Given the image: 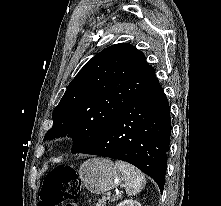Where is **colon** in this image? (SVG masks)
Here are the masks:
<instances>
[{
  "instance_id": "colon-1",
  "label": "colon",
  "mask_w": 221,
  "mask_h": 206,
  "mask_svg": "<svg viewBox=\"0 0 221 206\" xmlns=\"http://www.w3.org/2000/svg\"><path fill=\"white\" fill-rule=\"evenodd\" d=\"M80 180L70 166H58L47 176L41 195L40 206H58L80 194Z\"/></svg>"
}]
</instances>
